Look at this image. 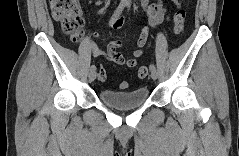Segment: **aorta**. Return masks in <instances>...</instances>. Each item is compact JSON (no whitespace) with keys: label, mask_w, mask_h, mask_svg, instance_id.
Segmentation results:
<instances>
[{"label":"aorta","mask_w":239,"mask_h":156,"mask_svg":"<svg viewBox=\"0 0 239 156\" xmlns=\"http://www.w3.org/2000/svg\"><path fill=\"white\" fill-rule=\"evenodd\" d=\"M123 2L128 5L130 4V0H123Z\"/></svg>","instance_id":"obj_1"}]
</instances>
